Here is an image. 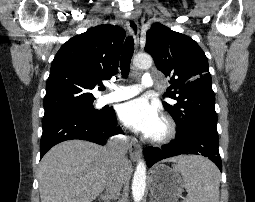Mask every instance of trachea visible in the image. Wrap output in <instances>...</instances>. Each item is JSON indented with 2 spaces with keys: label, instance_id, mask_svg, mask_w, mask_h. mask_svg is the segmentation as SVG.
<instances>
[{
  "label": "trachea",
  "instance_id": "1",
  "mask_svg": "<svg viewBox=\"0 0 255 202\" xmlns=\"http://www.w3.org/2000/svg\"><path fill=\"white\" fill-rule=\"evenodd\" d=\"M134 53V40L132 36H128L122 50L120 69L123 78H127L130 71V62ZM105 88H101L104 90Z\"/></svg>",
  "mask_w": 255,
  "mask_h": 202
}]
</instances>
